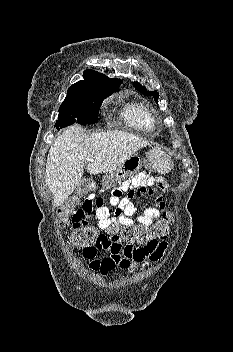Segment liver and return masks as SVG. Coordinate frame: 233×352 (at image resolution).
Returning <instances> with one entry per match:
<instances>
[{"mask_svg": "<svg viewBox=\"0 0 233 352\" xmlns=\"http://www.w3.org/2000/svg\"><path fill=\"white\" fill-rule=\"evenodd\" d=\"M148 141L125 131L84 133L76 125L63 131L49 150L45 179L54 205L61 206L80 184L84 162L87 172L97 175L110 172L148 146Z\"/></svg>", "mask_w": 233, "mask_h": 352, "instance_id": "obj_1", "label": "liver"}]
</instances>
